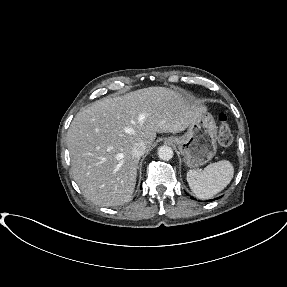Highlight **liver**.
Masks as SVG:
<instances>
[{
	"label": "liver",
	"instance_id": "obj_1",
	"mask_svg": "<svg viewBox=\"0 0 287 287\" xmlns=\"http://www.w3.org/2000/svg\"><path fill=\"white\" fill-rule=\"evenodd\" d=\"M206 107L184 92L152 86L108 96L80 109L68 132L71 172L93 203L118 206L131 200L139 159L131 154L142 141L150 151L157 133H179Z\"/></svg>",
	"mask_w": 287,
	"mask_h": 287
}]
</instances>
